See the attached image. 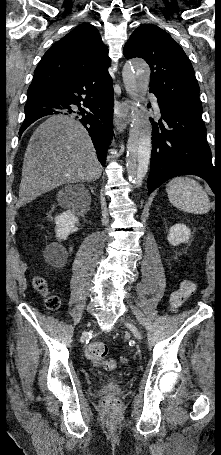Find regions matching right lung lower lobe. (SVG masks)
I'll list each match as a JSON object with an SVG mask.
<instances>
[{"label":"right lung lower lobe","mask_w":221,"mask_h":455,"mask_svg":"<svg viewBox=\"0 0 221 455\" xmlns=\"http://www.w3.org/2000/svg\"><path fill=\"white\" fill-rule=\"evenodd\" d=\"M112 107V79L108 69L101 67L66 80L45 94L29 98L19 134L43 116L70 115L78 118L85 126L97 157L105 166L107 148L113 132Z\"/></svg>","instance_id":"right-lung-lower-lobe-1"}]
</instances>
